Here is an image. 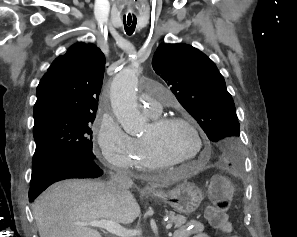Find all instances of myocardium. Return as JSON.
Segmentation results:
<instances>
[{"label":"myocardium","instance_id":"1","mask_svg":"<svg viewBox=\"0 0 297 237\" xmlns=\"http://www.w3.org/2000/svg\"><path fill=\"white\" fill-rule=\"evenodd\" d=\"M168 124H184L186 125L193 135L195 136L197 143H198V150L197 153L188 158L182 160H173L170 159L167 155H165L161 149L156 145L155 142L150 140L149 138H142L144 145L150 155V157L155 161L158 166L166 167V166H181L185 165L194 161H197L200 158V155L204 148V141L195 127V125L188 120L187 118L181 116H157L153 117L151 125L154 129L162 128Z\"/></svg>","mask_w":297,"mask_h":237}]
</instances>
